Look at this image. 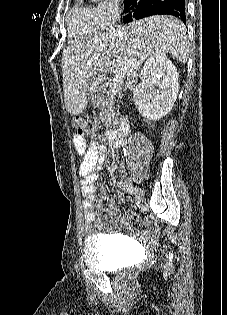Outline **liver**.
<instances>
[{"instance_id": "6515ba94", "label": "liver", "mask_w": 227, "mask_h": 315, "mask_svg": "<svg viewBox=\"0 0 227 315\" xmlns=\"http://www.w3.org/2000/svg\"><path fill=\"white\" fill-rule=\"evenodd\" d=\"M185 34L181 20L151 16L65 49L62 75L66 110L73 115L82 113L87 107L89 86L104 84L114 68L125 72L126 86L134 92L137 72L156 52L169 53L186 63L189 49Z\"/></svg>"}]
</instances>
